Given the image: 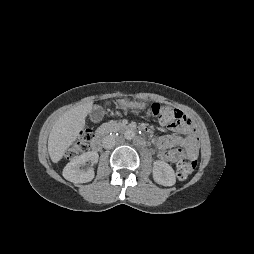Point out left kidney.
Instances as JSON below:
<instances>
[{"label":"left kidney","instance_id":"5707ae66","mask_svg":"<svg viewBox=\"0 0 254 254\" xmlns=\"http://www.w3.org/2000/svg\"><path fill=\"white\" fill-rule=\"evenodd\" d=\"M153 179L163 186H173L176 182L173 168L168 163L160 160L153 163Z\"/></svg>","mask_w":254,"mask_h":254}]
</instances>
